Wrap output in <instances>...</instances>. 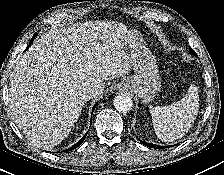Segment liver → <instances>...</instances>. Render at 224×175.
Wrapping results in <instances>:
<instances>
[{"instance_id":"obj_1","label":"liver","mask_w":224,"mask_h":175,"mask_svg":"<svg viewBox=\"0 0 224 175\" xmlns=\"http://www.w3.org/2000/svg\"><path fill=\"white\" fill-rule=\"evenodd\" d=\"M129 33L119 22L88 21L50 29L33 43L9 88L12 118L29 141L46 150L61 143L81 114L85 89L101 94L105 80L129 73Z\"/></svg>"}]
</instances>
